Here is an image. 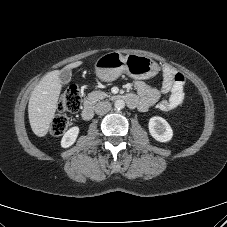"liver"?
Wrapping results in <instances>:
<instances>
[{"label":"liver","mask_w":227,"mask_h":227,"mask_svg":"<svg viewBox=\"0 0 227 227\" xmlns=\"http://www.w3.org/2000/svg\"><path fill=\"white\" fill-rule=\"evenodd\" d=\"M82 63V61H76L63 69L77 68ZM60 72L59 70H54L47 73L36 85L29 99L28 116L30 126L34 134L39 137L47 134L55 115L62 88L59 79Z\"/></svg>","instance_id":"obj_1"}]
</instances>
